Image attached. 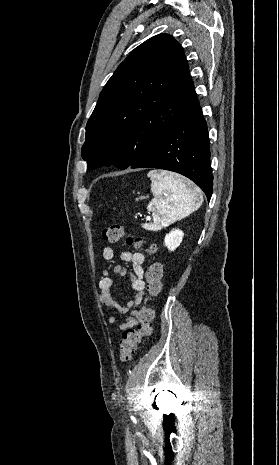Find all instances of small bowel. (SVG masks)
Segmentation results:
<instances>
[{"mask_svg":"<svg viewBox=\"0 0 279 465\" xmlns=\"http://www.w3.org/2000/svg\"><path fill=\"white\" fill-rule=\"evenodd\" d=\"M102 257L106 261L113 260L115 257L114 249L109 246L104 247L102 250ZM121 259L124 262L131 263L132 265L130 283L132 289L135 291V296L126 304H121L113 295L112 288L115 284L113 274L118 276H125L127 274L126 268L121 265H116L112 272L104 270L103 276L99 282L101 302L110 309L116 310L118 313H130V315L122 322H118L117 318L113 315L107 316V323L111 325L116 332L125 331L126 329L135 327L138 324L137 306L141 302L145 290V271L143 266L145 261L144 255L139 252L123 251L121 253Z\"/></svg>","mask_w":279,"mask_h":465,"instance_id":"obj_1","label":"small bowel"}]
</instances>
